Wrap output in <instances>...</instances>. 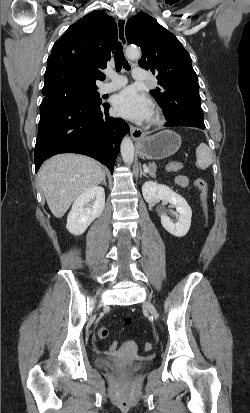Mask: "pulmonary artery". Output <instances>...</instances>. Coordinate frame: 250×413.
I'll return each instance as SVG.
<instances>
[{"label":"pulmonary artery","mask_w":250,"mask_h":413,"mask_svg":"<svg viewBox=\"0 0 250 413\" xmlns=\"http://www.w3.org/2000/svg\"><path fill=\"white\" fill-rule=\"evenodd\" d=\"M132 76L135 80H145L146 79V73L142 68H135L132 72ZM108 77H109V81L104 83L101 87H100V91L102 93H109V92H113L116 91L122 87H124L127 83V79L122 76V75H118L114 72H108Z\"/></svg>","instance_id":"1"}]
</instances>
